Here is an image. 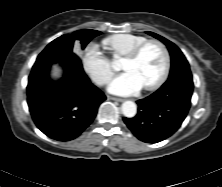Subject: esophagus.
<instances>
[{"mask_svg":"<svg viewBox=\"0 0 222 187\" xmlns=\"http://www.w3.org/2000/svg\"><path fill=\"white\" fill-rule=\"evenodd\" d=\"M108 100H112V101H117V102H122L123 99L121 98H117V97H113V96H107Z\"/></svg>","mask_w":222,"mask_h":187,"instance_id":"obj_1","label":"esophagus"}]
</instances>
